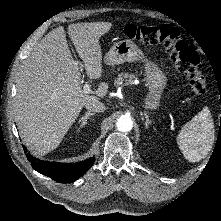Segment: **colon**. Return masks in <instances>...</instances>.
Instances as JSON below:
<instances>
[{
    "label": "colon",
    "instance_id": "5ec220e1",
    "mask_svg": "<svg viewBox=\"0 0 221 221\" xmlns=\"http://www.w3.org/2000/svg\"><path fill=\"white\" fill-rule=\"evenodd\" d=\"M126 37L144 45H162L179 72L183 74L191 91L196 95L206 92L200 60L196 52L181 38L180 31L168 24L162 25H127Z\"/></svg>",
    "mask_w": 221,
    "mask_h": 221
}]
</instances>
